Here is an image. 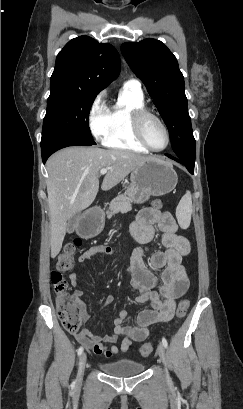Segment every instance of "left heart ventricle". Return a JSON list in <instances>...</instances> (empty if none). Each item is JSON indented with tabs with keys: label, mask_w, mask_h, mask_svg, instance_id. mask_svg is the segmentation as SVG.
I'll use <instances>...</instances> for the list:
<instances>
[{
	"label": "left heart ventricle",
	"mask_w": 243,
	"mask_h": 409,
	"mask_svg": "<svg viewBox=\"0 0 243 409\" xmlns=\"http://www.w3.org/2000/svg\"><path fill=\"white\" fill-rule=\"evenodd\" d=\"M144 135L149 144L161 149L166 145V134L162 126L153 118H146L143 124Z\"/></svg>",
	"instance_id": "obj_1"
}]
</instances>
